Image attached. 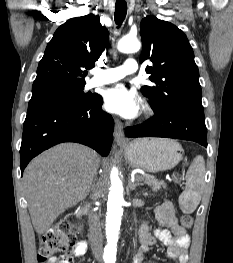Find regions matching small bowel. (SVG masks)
Listing matches in <instances>:
<instances>
[{"label":"small bowel","instance_id":"c3829d8e","mask_svg":"<svg viewBox=\"0 0 233 263\" xmlns=\"http://www.w3.org/2000/svg\"><path fill=\"white\" fill-rule=\"evenodd\" d=\"M155 216L158 222L167 229H156L151 232L148 225L143 224L139 230V239L141 246L135 254L133 263H142L144 253L148 252L150 247L162 242L168 247V256L174 263H187L188 248L190 245V235L182 228L175 215V208L170 201L164 200L155 210ZM87 251V243L79 241L74 254L77 257L84 256ZM57 263H73L70 256L64 257Z\"/></svg>","mask_w":233,"mask_h":263}]
</instances>
